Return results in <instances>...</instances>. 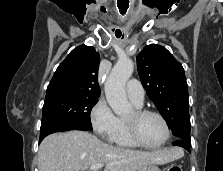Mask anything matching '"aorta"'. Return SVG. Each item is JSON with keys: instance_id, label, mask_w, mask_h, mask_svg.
Segmentation results:
<instances>
[{"instance_id": "762f6f07", "label": "aorta", "mask_w": 223, "mask_h": 171, "mask_svg": "<svg viewBox=\"0 0 223 171\" xmlns=\"http://www.w3.org/2000/svg\"><path fill=\"white\" fill-rule=\"evenodd\" d=\"M133 70L134 64L131 60H119L112 68L105 83L107 102L118 116L126 115L132 109L126 97L125 84L131 77Z\"/></svg>"}]
</instances>
